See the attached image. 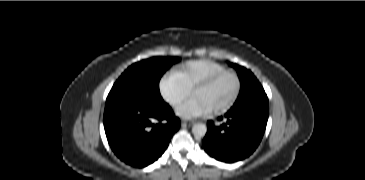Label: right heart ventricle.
Listing matches in <instances>:
<instances>
[{"instance_id":"1","label":"right heart ventricle","mask_w":365,"mask_h":180,"mask_svg":"<svg viewBox=\"0 0 365 180\" xmlns=\"http://www.w3.org/2000/svg\"><path fill=\"white\" fill-rule=\"evenodd\" d=\"M225 71V67L213 63H199L191 67L190 73L194 77L207 78Z\"/></svg>"}]
</instances>
